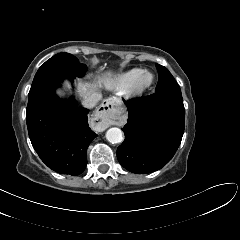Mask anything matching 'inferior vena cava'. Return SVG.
Returning a JSON list of instances; mask_svg holds the SVG:
<instances>
[{
  "label": "inferior vena cava",
  "mask_w": 240,
  "mask_h": 240,
  "mask_svg": "<svg viewBox=\"0 0 240 240\" xmlns=\"http://www.w3.org/2000/svg\"><path fill=\"white\" fill-rule=\"evenodd\" d=\"M102 98V94L99 92H94L91 95L84 98L82 105L85 108H93Z\"/></svg>",
  "instance_id": "inferior-vena-cava-1"
}]
</instances>
